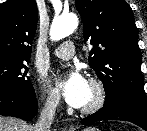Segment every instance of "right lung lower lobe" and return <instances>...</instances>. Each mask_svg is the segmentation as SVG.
Instances as JSON below:
<instances>
[{
  "instance_id": "98d812e1",
  "label": "right lung lower lobe",
  "mask_w": 147,
  "mask_h": 131,
  "mask_svg": "<svg viewBox=\"0 0 147 131\" xmlns=\"http://www.w3.org/2000/svg\"><path fill=\"white\" fill-rule=\"evenodd\" d=\"M36 112L37 100L34 90L27 95L0 91V115L29 121Z\"/></svg>"
}]
</instances>
